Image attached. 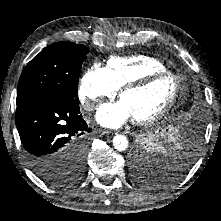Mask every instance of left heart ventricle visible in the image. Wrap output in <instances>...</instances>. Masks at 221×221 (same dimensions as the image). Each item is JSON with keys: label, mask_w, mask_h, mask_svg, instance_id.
I'll list each match as a JSON object with an SVG mask.
<instances>
[{"label": "left heart ventricle", "mask_w": 221, "mask_h": 221, "mask_svg": "<svg viewBox=\"0 0 221 221\" xmlns=\"http://www.w3.org/2000/svg\"><path fill=\"white\" fill-rule=\"evenodd\" d=\"M175 87L173 78L162 77L142 89L124 93L121 101L133 119L150 117L165 107L172 98Z\"/></svg>", "instance_id": "left-heart-ventricle-1"}]
</instances>
